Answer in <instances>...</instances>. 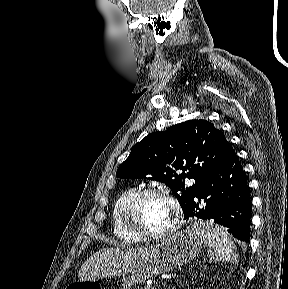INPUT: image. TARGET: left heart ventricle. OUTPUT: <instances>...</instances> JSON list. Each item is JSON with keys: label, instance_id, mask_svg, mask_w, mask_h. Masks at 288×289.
<instances>
[{"label": "left heart ventricle", "instance_id": "1", "mask_svg": "<svg viewBox=\"0 0 288 289\" xmlns=\"http://www.w3.org/2000/svg\"><path fill=\"white\" fill-rule=\"evenodd\" d=\"M133 219L141 230L155 233L170 226L173 221V210L164 199L148 196L136 205Z\"/></svg>", "mask_w": 288, "mask_h": 289}]
</instances>
